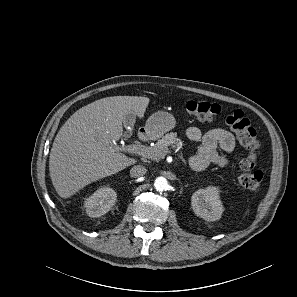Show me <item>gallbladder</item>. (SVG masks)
Returning <instances> with one entry per match:
<instances>
[{"label":"gallbladder","mask_w":297,"mask_h":297,"mask_svg":"<svg viewBox=\"0 0 297 297\" xmlns=\"http://www.w3.org/2000/svg\"><path fill=\"white\" fill-rule=\"evenodd\" d=\"M136 120V115L134 113H129L128 115H126L123 119V125L125 127L129 126V127H133L134 123Z\"/></svg>","instance_id":"1"}]
</instances>
